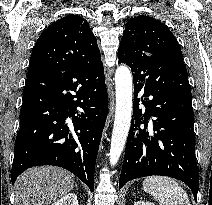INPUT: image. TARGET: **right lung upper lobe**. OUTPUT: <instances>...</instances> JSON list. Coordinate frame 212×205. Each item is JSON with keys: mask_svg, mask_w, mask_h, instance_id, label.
I'll return each instance as SVG.
<instances>
[{"mask_svg": "<svg viewBox=\"0 0 212 205\" xmlns=\"http://www.w3.org/2000/svg\"><path fill=\"white\" fill-rule=\"evenodd\" d=\"M101 65L97 39L87 21L79 15H68L50 24L38 38L27 77L49 70Z\"/></svg>", "mask_w": 212, "mask_h": 205, "instance_id": "obj_1", "label": "right lung upper lobe"}]
</instances>
